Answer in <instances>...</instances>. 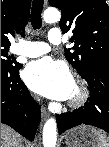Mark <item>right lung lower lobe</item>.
Masks as SVG:
<instances>
[{
    "label": "right lung lower lobe",
    "instance_id": "98d812e1",
    "mask_svg": "<svg viewBox=\"0 0 109 147\" xmlns=\"http://www.w3.org/2000/svg\"><path fill=\"white\" fill-rule=\"evenodd\" d=\"M21 64L1 66V123L33 140L40 123V105L19 77Z\"/></svg>",
    "mask_w": 109,
    "mask_h": 147
}]
</instances>
